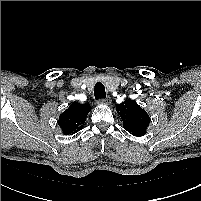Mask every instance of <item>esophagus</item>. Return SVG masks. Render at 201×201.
Returning a JSON list of instances; mask_svg holds the SVG:
<instances>
[{"label":"esophagus","instance_id":"esophagus-1","mask_svg":"<svg viewBox=\"0 0 201 201\" xmlns=\"http://www.w3.org/2000/svg\"><path fill=\"white\" fill-rule=\"evenodd\" d=\"M98 104H104V105H109L111 104V98L110 97H106L104 99H99Z\"/></svg>","mask_w":201,"mask_h":201}]
</instances>
